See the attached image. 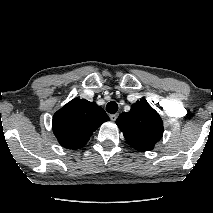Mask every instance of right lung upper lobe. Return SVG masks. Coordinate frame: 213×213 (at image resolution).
<instances>
[{
    "label": "right lung upper lobe",
    "instance_id": "1",
    "mask_svg": "<svg viewBox=\"0 0 213 213\" xmlns=\"http://www.w3.org/2000/svg\"><path fill=\"white\" fill-rule=\"evenodd\" d=\"M106 121H109L108 115L95 102L75 98L54 114L52 127L58 142L75 150L82 148Z\"/></svg>",
    "mask_w": 213,
    "mask_h": 213
}]
</instances>
